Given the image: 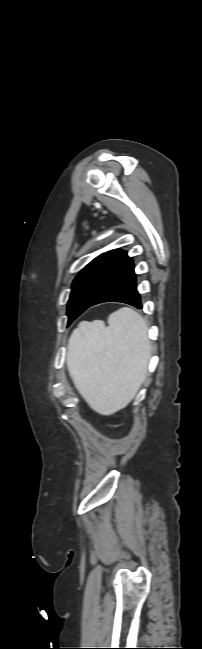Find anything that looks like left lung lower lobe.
Listing matches in <instances>:
<instances>
[{
    "mask_svg": "<svg viewBox=\"0 0 202 649\" xmlns=\"http://www.w3.org/2000/svg\"><path fill=\"white\" fill-rule=\"evenodd\" d=\"M136 277L133 260L128 257L98 295L87 304L86 309L103 302H123L141 309V296L137 291Z\"/></svg>",
    "mask_w": 202,
    "mask_h": 649,
    "instance_id": "0a47b994",
    "label": "left lung lower lobe"
}]
</instances>
